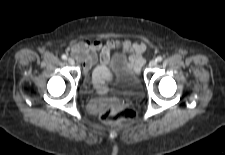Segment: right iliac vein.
I'll list each match as a JSON object with an SVG mask.
<instances>
[{"label":"right iliac vein","instance_id":"obj_1","mask_svg":"<svg viewBox=\"0 0 225 155\" xmlns=\"http://www.w3.org/2000/svg\"><path fill=\"white\" fill-rule=\"evenodd\" d=\"M68 63H69L70 65H74V64H75V61H74V59H72V58H68Z\"/></svg>","mask_w":225,"mask_h":155}]
</instances>
